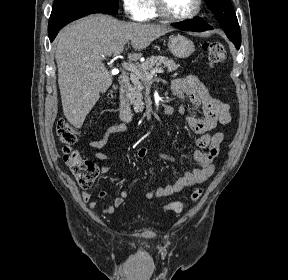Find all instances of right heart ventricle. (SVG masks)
I'll return each mask as SVG.
<instances>
[{"mask_svg": "<svg viewBox=\"0 0 288 280\" xmlns=\"http://www.w3.org/2000/svg\"><path fill=\"white\" fill-rule=\"evenodd\" d=\"M158 16L156 12L155 2L154 0H148L147 1V10L145 14L144 20H151Z\"/></svg>", "mask_w": 288, "mask_h": 280, "instance_id": "e07e8e85", "label": "right heart ventricle"}]
</instances>
